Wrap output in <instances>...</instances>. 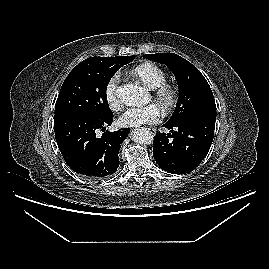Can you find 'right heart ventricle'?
I'll list each match as a JSON object with an SVG mask.
<instances>
[{"label": "right heart ventricle", "instance_id": "obj_1", "mask_svg": "<svg viewBox=\"0 0 269 269\" xmlns=\"http://www.w3.org/2000/svg\"><path fill=\"white\" fill-rule=\"evenodd\" d=\"M132 74L146 87L156 89L167 82L166 73L153 63H142L132 70Z\"/></svg>", "mask_w": 269, "mask_h": 269}]
</instances>
